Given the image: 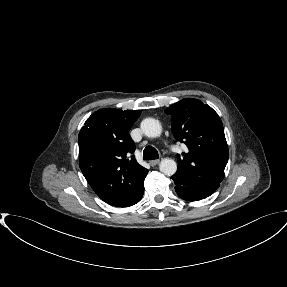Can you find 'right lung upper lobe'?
<instances>
[{
    "label": "right lung upper lobe",
    "mask_w": 287,
    "mask_h": 287,
    "mask_svg": "<svg viewBox=\"0 0 287 287\" xmlns=\"http://www.w3.org/2000/svg\"><path fill=\"white\" fill-rule=\"evenodd\" d=\"M140 114V110L101 109L86 120L79 133L82 174L94 192L112 206H130L144 187L148 170L137 163L129 135Z\"/></svg>",
    "instance_id": "right-lung-upper-lobe-1"
}]
</instances>
